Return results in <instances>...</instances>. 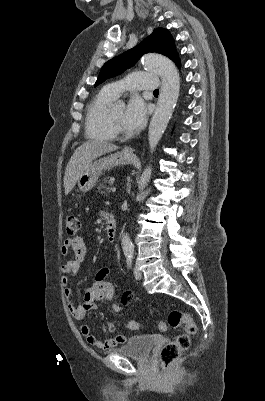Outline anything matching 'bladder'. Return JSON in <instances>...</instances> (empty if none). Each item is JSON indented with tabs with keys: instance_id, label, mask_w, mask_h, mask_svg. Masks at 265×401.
<instances>
[{
	"instance_id": "31cf9c89",
	"label": "bladder",
	"mask_w": 265,
	"mask_h": 401,
	"mask_svg": "<svg viewBox=\"0 0 265 401\" xmlns=\"http://www.w3.org/2000/svg\"><path fill=\"white\" fill-rule=\"evenodd\" d=\"M155 340L152 336H134L123 347L108 350V352H119L125 357L147 358Z\"/></svg>"
}]
</instances>
